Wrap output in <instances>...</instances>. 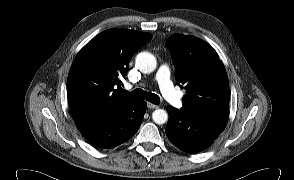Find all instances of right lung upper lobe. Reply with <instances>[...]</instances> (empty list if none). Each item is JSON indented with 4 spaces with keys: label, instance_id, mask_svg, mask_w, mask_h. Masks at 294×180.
Here are the masks:
<instances>
[{
    "label": "right lung upper lobe",
    "instance_id": "right-lung-upper-lobe-1",
    "mask_svg": "<svg viewBox=\"0 0 294 180\" xmlns=\"http://www.w3.org/2000/svg\"><path fill=\"white\" fill-rule=\"evenodd\" d=\"M152 38L128 29H109L94 37L75 57L68 75L67 98L75 123L102 119L128 102L121 77L133 54Z\"/></svg>",
    "mask_w": 294,
    "mask_h": 180
}]
</instances>
